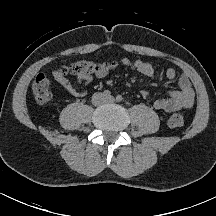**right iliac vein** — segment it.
Masks as SVG:
<instances>
[{"mask_svg":"<svg viewBox=\"0 0 216 216\" xmlns=\"http://www.w3.org/2000/svg\"><path fill=\"white\" fill-rule=\"evenodd\" d=\"M96 101H97L98 103H102V102H103L102 95H97Z\"/></svg>","mask_w":216,"mask_h":216,"instance_id":"obj_1","label":"right iliac vein"}]
</instances>
